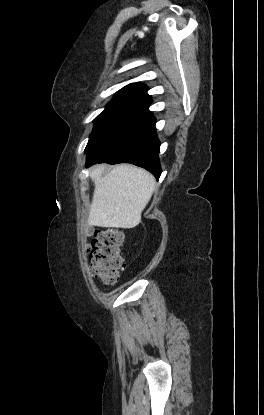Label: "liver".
I'll return each instance as SVG.
<instances>
[{"label":"liver","instance_id":"obj_1","mask_svg":"<svg viewBox=\"0 0 264 415\" xmlns=\"http://www.w3.org/2000/svg\"><path fill=\"white\" fill-rule=\"evenodd\" d=\"M106 165L90 174L95 189L89 209V226L134 228L155 189L154 176L145 169L120 164L104 175Z\"/></svg>","mask_w":264,"mask_h":415}]
</instances>
